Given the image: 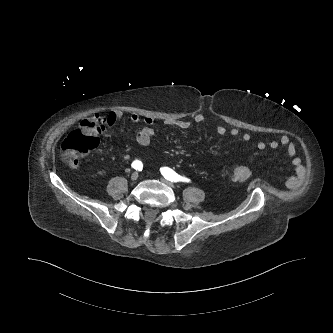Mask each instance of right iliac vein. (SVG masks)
Masks as SVG:
<instances>
[{
	"instance_id": "63e3f726",
	"label": "right iliac vein",
	"mask_w": 333,
	"mask_h": 333,
	"mask_svg": "<svg viewBox=\"0 0 333 333\" xmlns=\"http://www.w3.org/2000/svg\"><path fill=\"white\" fill-rule=\"evenodd\" d=\"M138 177H139L138 172H134V173L131 175V180H132V181H136V180L138 179Z\"/></svg>"
}]
</instances>
